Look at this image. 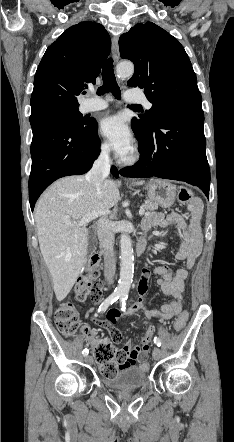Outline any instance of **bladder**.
<instances>
[{"instance_id": "1", "label": "bladder", "mask_w": 234, "mask_h": 442, "mask_svg": "<svg viewBox=\"0 0 234 442\" xmlns=\"http://www.w3.org/2000/svg\"><path fill=\"white\" fill-rule=\"evenodd\" d=\"M103 384L112 390H132L144 386L147 382V370L144 367L131 365L117 370L111 377H103Z\"/></svg>"}]
</instances>
